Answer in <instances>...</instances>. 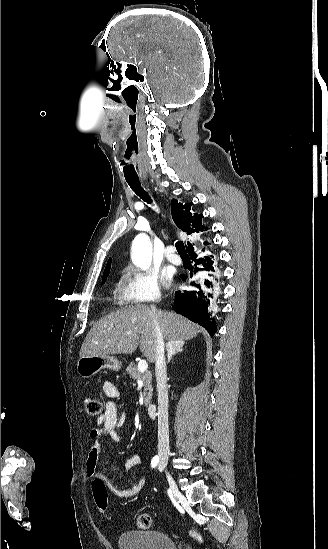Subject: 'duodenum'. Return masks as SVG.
Segmentation results:
<instances>
[{"instance_id":"obj_1","label":"duodenum","mask_w":328,"mask_h":549,"mask_svg":"<svg viewBox=\"0 0 328 549\" xmlns=\"http://www.w3.org/2000/svg\"><path fill=\"white\" fill-rule=\"evenodd\" d=\"M147 412L150 417H155L157 415V406L154 403L147 405Z\"/></svg>"}]
</instances>
